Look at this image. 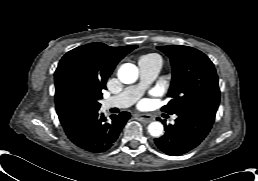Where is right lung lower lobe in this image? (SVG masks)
<instances>
[{"instance_id":"right-lung-lower-lobe-1","label":"right lung lower lobe","mask_w":258,"mask_h":181,"mask_svg":"<svg viewBox=\"0 0 258 181\" xmlns=\"http://www.w3.org/2000/svg\"><path fill=\"white\" fill-rule=\"evenodd\" d=\"M68 138L78 147L93 153L108 150L130 118L129 112L111 116L108 121L96 109H69L57 112Z\"/></svg>"}]
</instances>
